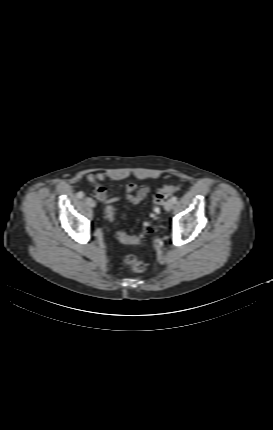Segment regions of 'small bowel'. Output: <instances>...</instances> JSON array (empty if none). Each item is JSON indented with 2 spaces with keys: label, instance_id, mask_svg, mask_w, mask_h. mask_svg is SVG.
I'll return each instance as SVG.
<instances>
[{
  "label": "small bowel",
  "instance_id": "small-bowel-1",
  "mask_svg": "<svg viewBox=\"0 0 273 430\" xmlns=\"http://www.w3.org/2000/svg\"><path fill=\"white\" fill-rule=\"evenodd\" d=\"M106 179V174L104 172L90 173L87 175V180L94 184L95 196L96 198L109 206H113L120 197L110 196L107 189L101 184ZM150 192V187L147 185H137L134 183H128L124 187V198L131 204H139L142 202ZM122 242H131L127 235L120 238Z\"/></svg>",
  "mask_w": 273,
  "mask_h": 430
}]
</instances>
